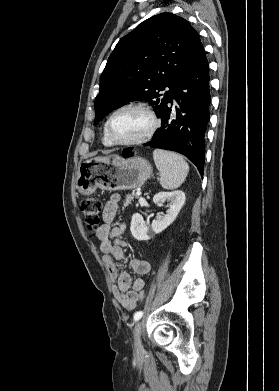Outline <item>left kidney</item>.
I'll use <instances>...</instances> for the list:
<instances>
[{"label": "left kidney", "mask_w": 279, "mask_h": 391, "mask_svg": "<svg viewBox=\"0 0 279 391\" xmlns=\"http://www.w3.org/2000/svg\"><path fill=\"white\" fill-rule=\"evenodd\" d=\"M167 200L169 202V208L166 214L157 216L151 226L145 223L143 217L135 213L132 216L130 230L132 236L138 241H147L151 239L155 234H158L165 230L177 217L179 211L185 203V193L180 190L172 192H159L153 197V202L159 204L162 201Z\"/></svg>", "instance_id": "1"}]
</instances>
